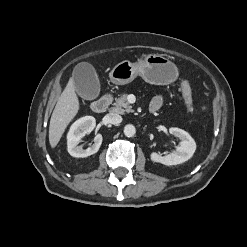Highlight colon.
I'll list each match as a JSON object with an SVG mask.
<instances>
[{
  "mask_svg": "<svg viewBox=\"0 0 247 247\" xmlns=\"http://www.w3.org/2000/svg\"><path fill=\"white\" fill-rule=\"evenodd\" d=\"M180 89L188 110L193 111L192 90L189 82L187 80H182L180 83Z\"/></svg>",
  "mask_w": 247,
  "mask_h": 247,
  "instance_id": "colon-1",
  "label": "colon"
}]
</instances>
